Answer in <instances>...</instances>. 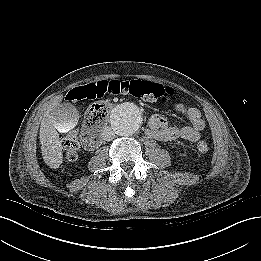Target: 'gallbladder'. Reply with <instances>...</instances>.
Instances as JSON below:
<instances>
[{
  "instance_id": "obj_1",
  "label": "gallbladder",
  "mask_w": 261,
  "mask_h": 261,
  "mask_svg": "<svg viewBox=\"0 0 261 261\" xmlns=\"http://www.w3.org/2000/svg\"><path fill=\"white\" fill-rule=\"evenodd\" d=\"M79 121V113L70 103H61L51 113L52 125L61 133L70 131Z\"/></svg>"
}]
</instances>
